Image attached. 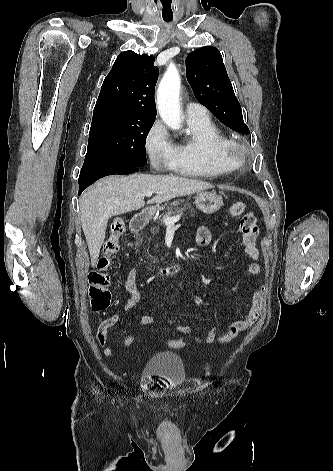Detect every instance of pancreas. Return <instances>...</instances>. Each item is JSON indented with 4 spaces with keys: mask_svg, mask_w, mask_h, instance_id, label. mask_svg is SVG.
<instances>
[{
    "mask_svg": "<svg viewBox=\"0 0 333 471\" xmlns=\"http://www.w3.org/2000/svg\"><path fill=\"white\" fill-rule=\"evenodd\" d=\"M187 210H190V212L192 213L191 215L194 216L193 208H192L191 204H186L182 208H176L174 211H173L172 208L168 209V211L165 213V215L163 216L161 221L158 222V223H159V225H162L164 223V219L166 217H171L174 214L182 215L183 212H185ZM159 225L151 227L150 231H151L152 236H154L155 234H157L160 231V226ZM142 240H143V238L137 237V244H141ZM148 240H151V237ZM153 262L155 263V258H154Z\"/></svg>",
    "mask_w": 333,
    "mask_h": 471,
    "instance_id": "cf45deb5",
    "label": "pancreas"
}]
</instances>
